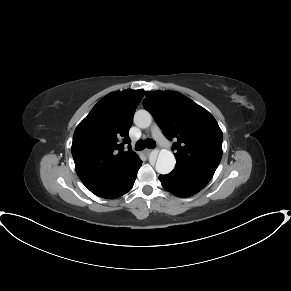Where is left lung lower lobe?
<instances>
[{
	"instance_id": "left-lung-lower-lobe-1",
	"label": "left lung lower lobe",
	"mask_w": 291,
	"mask_h": 291,
	"mask_svg": "<svg viewBox=\"0 0 291 291\" xmlns=\"http://www.w3.org/2000/svg\"><path fill=\"white\" fill-rule=\"evenodd\" d=\"M213 175L175 167L168 175H160L162 186L179 197H189L203 189Z\"/></svg>"
}]
</instances>
